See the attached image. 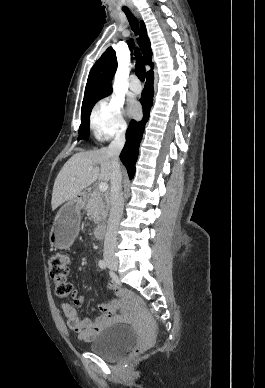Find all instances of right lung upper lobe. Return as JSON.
<instances>
[{
  "mask_svg": "<svg viewBox=\"0 0 265 388\" xmlns=\"http://www.w3.org/2000/svg\"><path fill=\"white\" fill-rule=\"evenodd\" d=\"M144 54V60L147 65L153 67L152 63V52L150 41L147 36L146 27L143 22H141V33L138 39ZM130 49L133 48V40L129 41ZM117 69V58L115 50L112 47H109L102 56L96 61L92 67L86 88L84 93L83 102L88 99L103 93L112 91V85L110 84L115 72ZM151 71V70H150ZM149 72V71H148Z\"/></svg>",
  "mask_w": 265,
  "mask_h": 388,
  "instance_id": "cb5924a9",
  "label": "right lung upper lobe"
}]
</instances>
